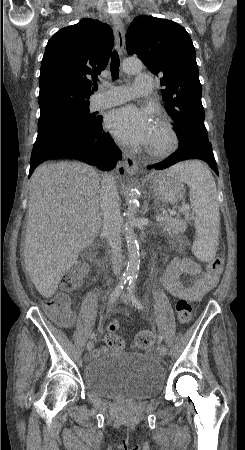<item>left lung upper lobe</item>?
Wrapping results in <instances>:
<instances>
[{"label":"left lung upper lobe","mask_w":245,"mask_h":450,"mask_svg":"<svg viewBox=\"0 0 245 450\" xmlns=\"http://www.w3.org/2000/svg\"><path fill=\"white\" fill-rule=\"evenodd\" d=\"M126 44L129 54H137L150 72L162 76V97L176 122L179 148L209 146L196 52L187 31L173 21L143 15L131 23Z\"/></svg>","instance_id":"5c2ea615"}]
</instances>
